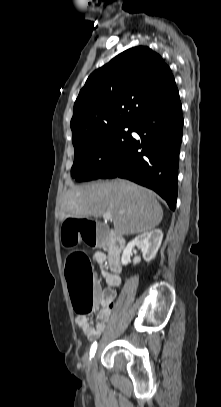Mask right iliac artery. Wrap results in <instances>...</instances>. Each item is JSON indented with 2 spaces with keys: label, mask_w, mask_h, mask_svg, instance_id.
Returning a JSON list of instances; mask_svg holds the SVG:
<instances>
[{
  "label": "right iliac artery",
  "mask_w": 221,
  "mask_h": 407,
  "mask_svg": "<svg viewBox=\"0 0 221 407\" xmlns=\"http://www.w3.org/2000/svg\"><path fill=\"white\" fill-rule=\"evenodd\" d=\"M97 349V342H94L90 349V359L94 356Z\"/></svg>",
  "instance_id": "1"
}]
</instances>
